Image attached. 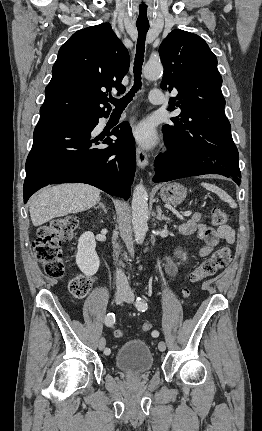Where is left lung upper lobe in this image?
<instances>
[{"label": "left lung upper lobe", "instance_id": "5c2ea615", "mask_svg": "<svg viewBox=\"0 0 262 431\" xmlns=\"http://www.w3.org/2000/svg\"><path fill=\"white\" fill-rule=\"evenodd\" d=\"M164 66L161 87L178 91L169 110L181 113L164 125L166 143L179 151L217 154L230 142L231 126L225 116L222 77L217 58L198 35L172 31L159 47Z\"/></svg>", "mask_w": 262, "mask_h": 431}]
</instances>
